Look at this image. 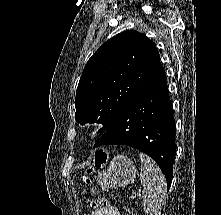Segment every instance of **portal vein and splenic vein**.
Segmentation results:
<instances>
[{"instance_id":"18ae733b","label":"portal vein and splenic vein","mask_w":221,"mask_h":215,"mask_svg":"<svg viewBox=\"0 0 221 215\" xmlns=\"http://www.w3.org/2000/svg\"><path fill=\"white\" fill-rule=\"evenodd\" d=\"M136 194H137V195L140 194V191H138Z\"/></svg>"}]
</instances>
